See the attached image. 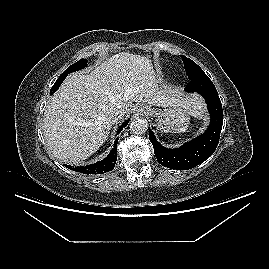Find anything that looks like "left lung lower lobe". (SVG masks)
Segmentation results:
<instances>
[{
    "label": "left lung lower lobe",
    "instance_id": "1",
    "mask_svg": "<svg viewBox=\"0 0 269 269\" xmlns=\"http://www.w3.org/2000/svg\"><path fill=\"white\" fill-rule=\"evenodd\" d=\"M185 90L199 93L207 103L211 122L205 133L185 143L180 148L168 149L156 140L149 128V139L158 162L167 168L176 170L191 169L207 160L218 145L223 125L221 101L214 84L208 76L191 80Z\"/></svg>",
    "mask_w": 269,
    "mask_h": 269
}]
</instances>
